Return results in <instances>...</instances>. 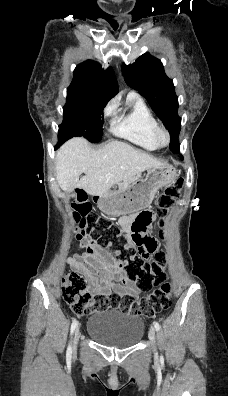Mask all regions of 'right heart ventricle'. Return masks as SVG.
<instances>
[{
	"label": "right heart ventricle",
	"instance_id": "right-heart-ventricle-1",
	"mask_svg": "<svg viewBox=\"0 0 228 396\" xmlns=\"http://www.w3.org/2000/svg\"><path fill=\"white\" fill-rule=\"evenodd\" d=\"M158 125L157 119L136 94L131 93L126 100V111L118 115L112 125V132L146 150H155L152 130Z\"/></svg>",
	"mask_w": 228,
	"mask_h": 396
}]
</instances>
